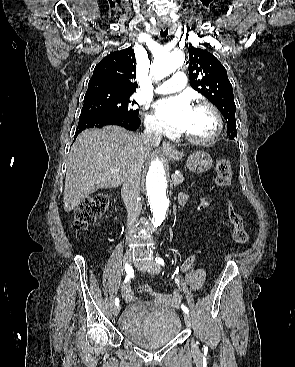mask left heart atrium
<instances>
[{
  "label": "left heart atrium",
  "mask_w": 295,
  "mask_h": 367,
  "mask_svg": "<svg viewBox=\"0 0 295 367\" xmlns=\"http://www.w3.org/2000/svg\"><path fill=\"white\" fill-rule=\"evenodd\" d=\"M159 118L173 129L183 131L188 123L193 107L186 95H179L159 101L156 106Z\"/></svg>",
  "instance_id": "1"
}]
</instances>
